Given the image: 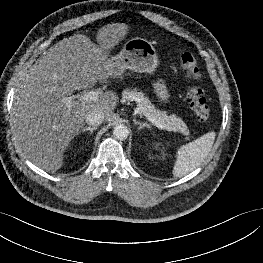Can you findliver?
Returning <instances> with one entry per match:
<instances>
[{"instance_id":"liver-1","label":"liver","mask_w":263,"mask_h":263,"mask_svg":"<svg viewBox=\"0 0 263 263\" xmlns=\"http://www.w3.org/2000/svg\"><path fill=\"white\" fill-rule=\"evenodd\" d=\"M124 23L108 24L94 44L77 34L50 47L29 69L15 90L12 130L16 147L37 167L54 173L64 164V152L85 125L92 110L112 119L115 92H101L94 101L73 99L75 90L92 88L114 78L109 51L128 33Z\"/></svg>"}]
</instances>
